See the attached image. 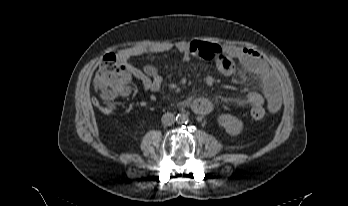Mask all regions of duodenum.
<instances>
[{"label":"duodenum","instance_id":"obj_1","mask_svg":"<svg viewBox=\"0 0 348 206\" xmlns=\"http://www.w3.org/2000/svg\"><path fill=\"white\" fill-rule=\"evenodd\" d=\"M192 107L194 110L200 114L206 113L208 111V106L205 101L201 99H195L192 102Z\"/></svg>","mask_w":348,"mask_h":206}]
</instances>
